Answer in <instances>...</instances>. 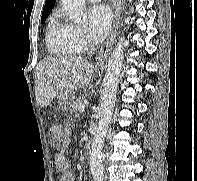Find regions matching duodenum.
I'll list each match as a JSON object with an SVG mask.
<instances>
[{
    "mask_svg": "<svg viewBox=\"0 0 197 181\" xmlns=\"http://www.w3.org/2000/svg\"><path fill=\"white\" fill-rule=\"evenodd\" d=\"M85 153H86V157L89 159L91 157V146L90 145H86Z\"/></svg>",
    "mask_w": 197,
    "mask_h": 181,
    "instance_id": "obj_1",
    "label": "duodenum"
}]
</instances>
